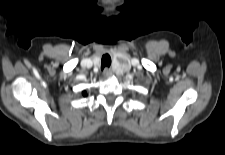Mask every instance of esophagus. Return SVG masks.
<instances>
[{
    "mask_svg": "<svg viewBox=\"0 0 225 155\" xmlns=\"http://www.w3.org/2000/svg\"><path fill=\"white\" fill-rule=\"evenodd\" d=\"M112 75V71L110 70V69H108V68H105V70H104V72H103V76L105 77V78H108V77H110Z\"/></svg>",
    "mask_w": 225,
    "mask_h": 155,
    "instance_id": "esophagus-1",
    "label": "esophagus"
}]
</instances>
